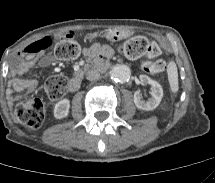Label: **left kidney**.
<instances>
[{
    "mask_svg": "<svg viewBox=\"0 0 215 183\" xmlns=\"http://www.w3.org/2000/svg\"><path fill=\"white\" fill-rule=\"evenodd\" d=\"M140 81L144 84H149L152 88L151 98H149L147 101H144L142 99V96L139 91H136L134 93V103L137 108L142 110H153L155 109L161 102L163 97V89L161 85L156 82L155 80L151 79L150 77L146 75H140Z\"/></svg>",
    "mask_w": 215,
    "mask_h": 183,
    "instance_id": "left-kidney-1",
    "label": "left kidney"
}]
</instances>
